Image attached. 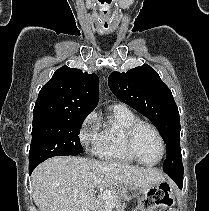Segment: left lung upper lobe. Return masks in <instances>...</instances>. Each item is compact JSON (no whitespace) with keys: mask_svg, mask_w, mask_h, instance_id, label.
Listing matches in <instances>:
<instances>
[{"mask_svg":"<svg viewBox=\"0 0 209 211\" xmlns=\"http://www.w3.org/2000/svg\"><path fill=\"white\" fill-rule=\"evenodd\" d=\"M108 85L116 97L149 118L167 145L165 173L183 170L180 150V118L170 89L149 65L127 73L113 72Z\"/></svg>","mask_w":209,"mask_h":211,"instance_id":"left-lung-upper-lobe-1","label":"left lung upper lobe"}]
</instances>
